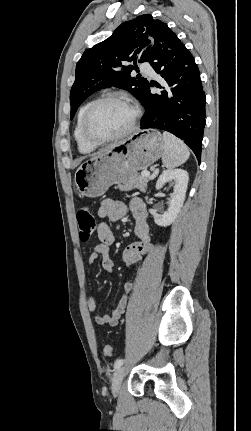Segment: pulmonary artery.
Listing matches in <instances>:
<instances>
[{
	"label": "pulmonary artery",
	"mask_w": 251,
	"mask_h": 431,
	"mask_svg": "<svg viewBox=\"0 0 251 431\" xmlns=\"http://www.w3.org/2000/svg\"><path fill=\"white\" fill-rule=\"evenodd\" d=\"M141 71L151 77H154L156 75L154 69L147 63H144L140 66Z\"/></svg>",
	"instance_id": "pulmonary-artery-1"
}]
</instances>
